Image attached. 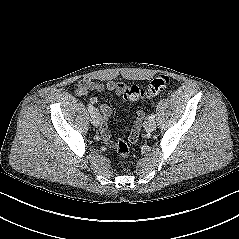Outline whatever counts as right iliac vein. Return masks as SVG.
Masks as SVG:
<instances>
[{"label": "right iliac vein", "mask_w": 239, "mask_h": 239, "mask_svg": "<svg viewBox=\"0 0 239 239\" xmlns=\"http://www.w3.org/2000/svg\"><path fill=\"white\" fill-rule=\"evenodd\" d=\"M101 122V115L98 112H94L91 116V123L95 126L98 127Z\"/></svg>", "instance_id": "63e3f726"}]
</instances>
